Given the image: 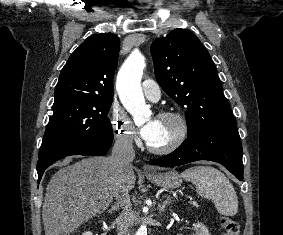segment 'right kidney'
Wrapping results in <instances>:
<instances>
[{"label": "right kidney", "mask_w": 283, "mask_h": 235, "mask_svg": "<svg viewBox=\"0 0 283 235\" xmlns=\"http://www.w3.org/2000/svg\"><path fill=\"white\" fill-rule=\"evenodd\" d=\"M82 235H93V234L90 231H86V232L82 233Z\"/></svg>", "instance_id": "obj_1"}]
</instances>
